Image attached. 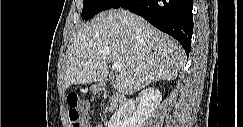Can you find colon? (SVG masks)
<instances>
[{
  "label": "colon",
  "instance_id": "1",
  "mask_svg": "<svg viewBox=\"0 0 243 127\" xmlns=\"http://www.w3.org/2000/svg\"><path fill=\"white\" fill-rule=\"evenodd\" d=\"M69 107V119L72 127H84V112L79 103V98L76 93H71L67 97Z\"/></svg>",
  "mask_w": 243,
  "mask_h": 127
}]
</instances>
